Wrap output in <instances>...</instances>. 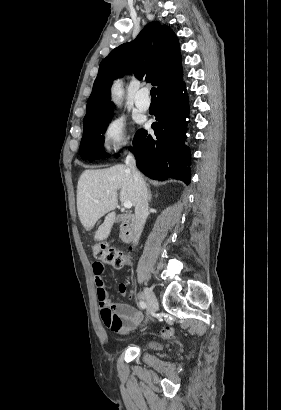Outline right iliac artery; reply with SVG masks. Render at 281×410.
<instances>
[{"mask_svg": "<svg viewBox=\"0 0 281 410\" xmlns=\"http://www.w3.org/2000/svg\"><path fill=\"white\" fill-rule=\"evenodd\" d=\"M139 306H140L142 309H145V308L147 307L145 301H140V302H139Z\"/></svg>", "mask_w": 281, "mask_h": 410, "instance_id": "1", "label": "right iliac artery"}]
</instances>
